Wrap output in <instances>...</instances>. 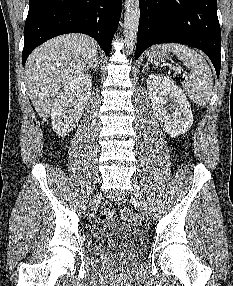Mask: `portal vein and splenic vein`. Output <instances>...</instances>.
Instances as JSON below:
<instances>
[{"mask_svg":"<svg viewBox=\"0 0 233 286\" xmlns=\"http://www.w3.org/2000/svg\"><path fill=\"white\" fill-rule=\"evenodd\" d=\"M178 73H181L180 71H177ZM185 76V78H187L188 79V77H187V75H184Z\"/></svg>","mask_w":233,"mask_h":286,"instance_id":"1","label":"portal vein and splenic vein"}]
</instances>
